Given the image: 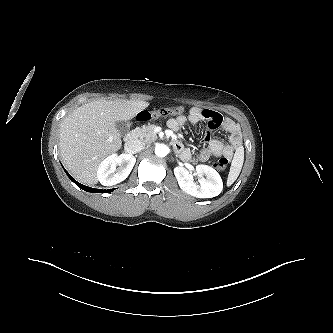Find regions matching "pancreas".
<instances>
[{
	"label": "pancreas",
	"mask_w": 333,
	"mask_h": 333,
	"mask_svg": "<svg viewBox=\"0 0 333 333\" xmlns=\"http://www.w3.org/2000/svg\"><path fill=\"white\" fill-rule=\"evenodd\" d=\"M155 125L149 124L147 126H143L142 128L137 127L135 129V136L145 142H153L157 139V135L154 131Z\"/></svg>",
	"instance_id": "1"
}]
</instances>
